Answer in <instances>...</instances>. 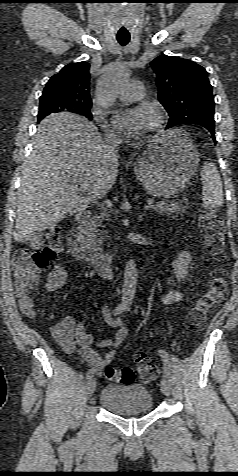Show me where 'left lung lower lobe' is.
Segmentation results:
<instances>
[{"instance_id": "0a47b994", "label": "left lung lower lobe", "mask_w": 238, "mask_h": 476, "mask_svg": "<svg viewBox=\"0 0 238 476\" xmlns=\"http://www.w3.org/2000/svg\"><path fill=\"white\" fill-rule=\"evenodd\" d=\"M199 125L205 127L206 129H208L210 131V133L212 134V139L214 140V142H216V138H215V125H214V122L212 121H204V122H200Z\"/></svg>"}]
</instances>
